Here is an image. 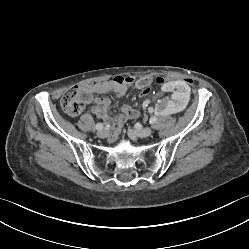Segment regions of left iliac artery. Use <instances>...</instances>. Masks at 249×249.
<instances>
[{
  "label": "left iliac artery",
  "instance_id": "44dca946",
  "mask_svg": "<svg viewBox=\"0 0 249 249\" xmlns=\"http://www.w3.org/2000/svg\"><path fill=\"white\" fill-rule=\"evenodd\" d=\"M156 121H157V118L155 117V116H152L151 118H150V124H154V123H156Z\"/></svg>",
  "mask_w": 249,
  "mask_h": 249
}]
</instances>
